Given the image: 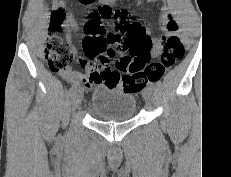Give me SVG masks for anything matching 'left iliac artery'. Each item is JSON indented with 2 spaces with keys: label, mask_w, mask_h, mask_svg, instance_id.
<instances>
[{
  "label": "left iliac artery",
  "mask_w": 231,
  "mask_h": 177,
  "mask_svg": "<svg viewBox=\"0 0 231 177\" xmlns=\"http://www.w3.org/2000/svg\"><path fill=\"white\" fill-rule=\"evenodd\" d=\"M149 87L154 88L153 83H149Z\"/></svg>",
  "instance_id": "left-iliac-artery-1"
}]
</instances>
